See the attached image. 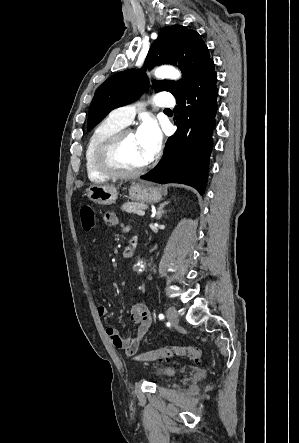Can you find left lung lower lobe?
I'll list each match as a JSON object with an SVG mask.
<instances>
[{"label":"left lung lower lobe","instance_id":"1","mask_svg":"<svg viewBox=\"0 0 299 443\" xmlns=\"http://www.w3.org/2000/svg\"><path fill=\"white\" fill-rule=\"evenodd\" d=\"M214 62L210 61L178 96L174 109L177 131L168 138L160 162L141 179L178 182L204 193L208 178L212 131L217 112Z\"/></svg>","mask_w":299,"mask_h":443}]
</instances>
